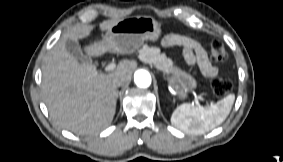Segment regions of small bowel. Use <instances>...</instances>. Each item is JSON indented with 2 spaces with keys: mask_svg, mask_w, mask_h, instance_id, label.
Returning a JSON list of instances; mask_svg holds the SVG:
<instances>
[{
  "mask_svg": "<svg viewBox=\"0 0 283 162\" xmlns=\"http://www.w3.org/2000/svg\"><path fill=\"white\" fill-rule=\"evenodd\" d=\"M162 45L181 48L186 63L197 67L205 77L212 78L217 75V67L210 63L206 51L197 41L185 36L168 35L162 40Z\"/></svg>",
  "mask_w": 283,
  "mask_h": 162,
  "instance_id": "1",
  "label": "small bowel"
}]
</instances>
